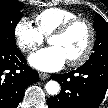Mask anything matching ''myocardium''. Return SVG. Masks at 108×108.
I'll list each match as a JSON object with an SVG mask.
<instances>
[{
  "label": "myocardium",
  "mask_w": 108,
  "mask_h": 108,
  "mask_svg": "<svg viewBox=\"0 0 108 108\" xmlns=\"http://www.w3.org/2000/svg\"><path fill=\"white\" fill-rule=\"evenodd\" d=\"M79 23L85 25L88 29V43L84 51L78 57L68 60L69 66H79L83 64L85 61H87V59L90 57L96 42V31L93 23L89 19L84 17H74L61 24L51 33L50 36V38L53 36H62L66 34L73 26Z\"/></svg>",
  "instance_id": "myocardium-1"
}]
</instances>
